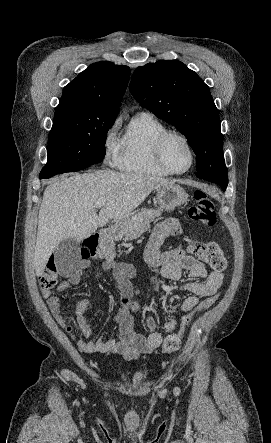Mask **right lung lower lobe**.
<instances>
[{
    "label": "right lung lower lobe",
    "instance_id": "obj_1",
    "mask_svg": "<svg viewBox=\"0 0 271 443\" xmlns=\"http://www.w3.org/2000/svg\"><path fill=\"white\" fill-rule=\"evenodd\" d=\"M81 169H84V168L58 170V171H54V172H51L48 174H40L39 178L40 179H47V178H50L56 174H61V173H66V172H74V171H79Z\"/></svg>",
    "mask_w": 271,
    "mask_h": 443
}]
</instances>
